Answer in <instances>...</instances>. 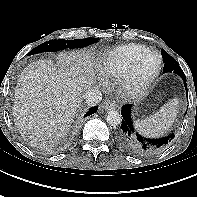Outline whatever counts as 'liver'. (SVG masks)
I'll return each instance as SVG.
<instances>
[{"instance_id":"obj_1","label":"liver","mask_w":197,"mask_h":197,"mask_svg":"<svg viewBox=\"0 0 197 197\" xmlns=\"http://www.w3.org/2000/svg\"><path fill=\"white\" fill-rule=\"evenodd\" d=\"M29 64L14 92L13 116L21 135L35 147L58 144L68 132L85 91L95 83V63L85 52L61 53Z\"/></svg>"}]
</instances>
